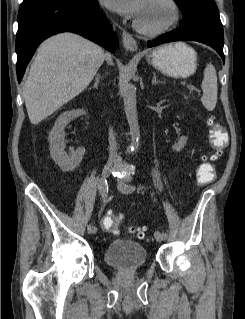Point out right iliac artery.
<instances>
[{
  "label": "right iliac artery",
  "mask_w": 245,
  "mask_h": 319,
  "mask_svg": "<svg viewBox=\"0 0 245 319\" xmlns=\"http://www.w3.org/2000/svg\"><path fill=\"white\" fill-rule=\"evenodd\" d=\"M99 190H101V195H102V198H103V201L104 203L106 202V196H107V192H108V186H107V180L104 179L102 182H101V186L99 187ZM92 231L93 233H96L97 232V228L94 226H92Z\"/></svg>",
  "instance_id": "82829eb1"
}]
</instances>
